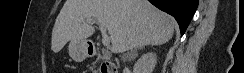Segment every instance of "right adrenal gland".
<instances>
[{"label": "right adrenal gland", "mask_w": 244, "mask_h": 73, "mask_svg": "<svg viewBox=\"0 0 244 73\" xmlns=\"http://www.w3.org/2000/svg\"><path fill=\"white\" fill-rule=\"evenodd\" d=\"M144 47H140L139 49H143ZM134 51L136 52L137 51V49H134Z\"/></svg>", "instance_id": "obj_1"}]
</instances>
